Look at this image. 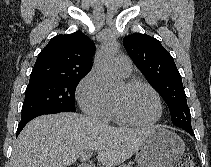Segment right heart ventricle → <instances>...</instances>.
Segmentation results:
<instances>
[{"label": "right heart ventricle", "mask_w": 211, "mask_h": 167, "mask_svg": "<svg viewBox=\"0 0 211 167\" xmlns=\"http://www.w3.org/2000/svg\"><path fill=\"white\" fill-rule=\"evenodd\" d=\"M108 119H111V120H113V121H115V122H117V123H121V122L118 120V118L115 116V114H114L112 108H111V111H110V114H109Z\"/></svg>", "instance_id": "obj_1"}]
</instances>
